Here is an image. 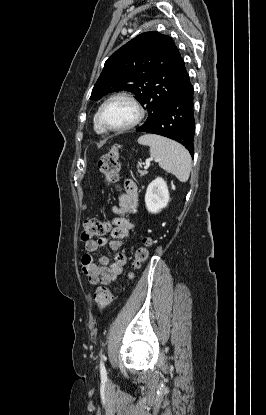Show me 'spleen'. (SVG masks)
Wrapping results in <instances>:
<instances>
[{
	"label": "spleen",
	"instance_id": "1",
	"mask_svg": "<svg viewBox=\"0 0 266 415\" xmlns=\"http://www.w3.org/2000/svg\"><path fill=\"white\" fill-rule=\"evenodd\" d=\"M138 143L150 147V155L155 158L161 168L173 174L180 182L188 181L192 159L181 144L154 134L142 135Z\"/></svg>",
	"mask_w": 266,
	"mask_h": 415
}]
</instances>
